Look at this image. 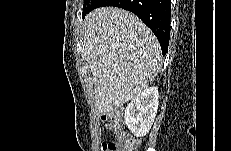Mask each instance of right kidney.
I'll return each mask as SVG.
<instances>
[{"label": "right kidney", "mask_w": 231, "mask_h": 151, "mask_svg": "<svg viewBox=\"0 0 231 151\" xmlns=\"http://www.w3.org/2000/svg\"><path fill=\"white\" fill-rule=\"evenodd\" d=\"M158 99V88L153 86L145 89L126 107L125 124L136 137H142L149 132L157 113Z\"/></svg>", "instance_id": "obj_1"}]
</instances>
